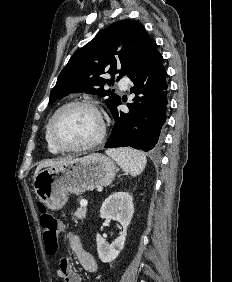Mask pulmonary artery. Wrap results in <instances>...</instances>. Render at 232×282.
I'll return each instance as SVG.
<instances>
[{"label": "pulmonary artery", "instance_id": "obj_1", "mask_svg": "<svg viewBox=\"0 0 232 282\" xmlns=\"http://www.w3.org/2000/svg\"><path fill=\"white\" fill-rule=\"evenodd\" d=\"M118 86L120 89L122 90H126L127 87H128V82L126 79H120L119 82H118Z\"/></svg>", "mask_w": 232, "mask_h": 282}]
</instances>
